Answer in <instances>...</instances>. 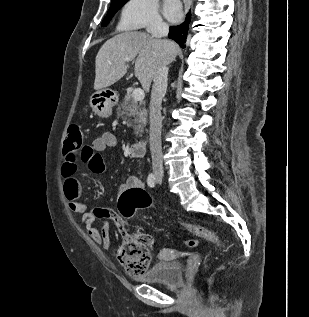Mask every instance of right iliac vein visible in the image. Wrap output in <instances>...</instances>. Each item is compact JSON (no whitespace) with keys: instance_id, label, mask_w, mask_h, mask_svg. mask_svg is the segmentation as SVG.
I'll return each mask as SVG.
<instances>
[{"instance_id":"right-iliac-vein-1","label":"right iliac vein","mask_w":309,"mask_h":317,"mask_svg":"<svg viewBox=\"0 0 309 317\" xmlns=\"http://www.w3.org/2000/svg\"><path fill=\"white\" fill-rule=\"evenodd\" d=\"M155 176H156V178L157 179H160V180H162V178H163V173L162 172H160V171H157V172H155Z\"/></svg>"}]
</instances>
